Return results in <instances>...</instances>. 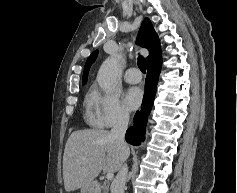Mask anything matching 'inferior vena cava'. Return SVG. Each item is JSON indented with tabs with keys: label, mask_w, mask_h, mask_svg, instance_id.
<instances>
[{
	"label": "inferior vena cava",
	"mask_w": 237,
	"mask_h": 193,
	"mask_svg": "<svg viewBox=\"0 0 237 193\" xmlns=\"http://www.w3.org/2000/svg\"><path fill=\"white\" fill-rule=\"evenodd\" d=\"M128 122L129 114L127 112L118 113L110 132L111 137L115 138L121 146L124 163L111 184V193H124L127 181L128 167L125 164V161L128 158V146L125 142V133L128 128Z\"/></svg>",
	"instance_id": "inferior-vena-cava-1"
}]
</instances>
